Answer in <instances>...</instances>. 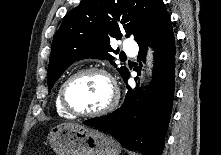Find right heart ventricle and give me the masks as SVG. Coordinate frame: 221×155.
Wrapping results in <instances>:
<instances>
[{
    "label": "right heart ventricle",
    "instance_id": "1",
    "mask_svg": "<svg viewBox=\"0 0 221 155\" xmlns=\"http://www.w3.org/2000/svg\"><path fill=\"white\" fill-rule=\"evenodd\" d=\"M61 88V87H60ZM60 88L58 89L57 95H56V99H55V107H56V111L57 113L65 118H72L73 116H71L69 113H67L63 107L61 106L60 103V98H59V93H60Z\"/></svg>",
    "mask_w": 221,
    "mask_h": 155
}]
</instances>
